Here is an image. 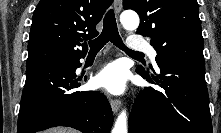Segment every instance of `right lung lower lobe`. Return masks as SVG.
<instances>
[{
    "label": "right lung lower lobe",
    "instance_id": "98d812e1",
    "mask_svg": "<svg viewBox=\"0 0 221 133\" xmlns=\"http://www.w3.org/2000/svg\"><path fill=\"white\" fill-rule=\"evenodd\" d=\"M78 60H62L27 67L17 133H35L68 126L83 133H109L113 113L99 91H76L81 84Z\"/></svg>",
    "mask_w": 221,
    "mask_h": 133
}]
</instances>
